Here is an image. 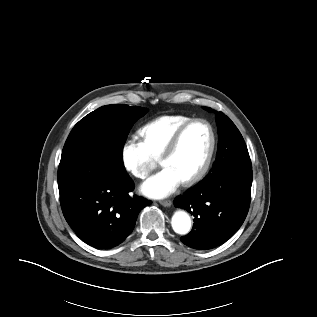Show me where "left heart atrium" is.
I'll use <instances>...</instances> for the list:
<instances>
[{"label":"left heart atrium","mask_w":317,"mask_h":317,"mask_svg":"<svg viewBox=\"0 0 317 317\" xmlns=\"http://www.w3.org/2000/svg\"><path fill=\"white\" fill-rule=\"evenodd\" d=\"M181 182L172 169L164 167L142 184L141 191L151 198H163L173 193Z\"/></svg>","instance_id":"obj_1"}]
</instances>
